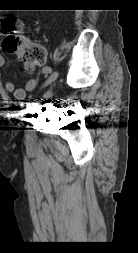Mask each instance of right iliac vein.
Wrapping results in <instances>:
<instances>
[{"label":"right iliac vein","mask_w":138,"mask_h":253,"mask_svg":"<svg viewBox=\"0 0 138 253\" xmlns=\"http://www.w3.org/2000/svg\"><path fill=\"white\" fill-rule=\"evenodd\" d=\"M57 78V73H52L48 79L45 81V83L43 84L42 88H44L45 86L49 85L50 83H52L53 81H55Z\"/></svg>","instance_id":"right-iliac-vein-1"}]
</instances>
